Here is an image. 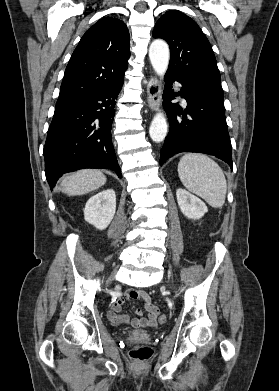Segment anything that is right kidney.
<instances>
[{"label":"right kidney","instance_id":"ca27d5eb","mask_svg":"<svg viewBox=\"0 0 279 391\" xmlns=\"http://www.w3.org/2000/svg\"><path fill=\"white\" fill-rule=\"evenodd\" d=\"M116 211V194L113 189L103 190L86 203L84 219L99 230L106 229Z\"/></svg>","mask_w":279,"mask_h":391}]
</instances>
